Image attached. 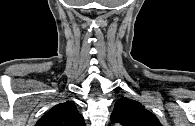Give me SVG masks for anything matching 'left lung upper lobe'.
Instances as JSON below:
<instances>
[{
    "label": "left lung upper lobe",
    "mask_w": 195,
    "mask_h": 126,
    "mask_svg": "<svg viewBox=\"0 0 195 126\" xmlns=\"http://www.w3.org/2000/svg\"><path fill=\"white\" fill-rule=\"evenodd\" d=\"M110 119L123 126H162L158 118L141 103L126 97L115 103Z\"/></svg>",
    "instance_id": "obj_1"
}]
</instances>
